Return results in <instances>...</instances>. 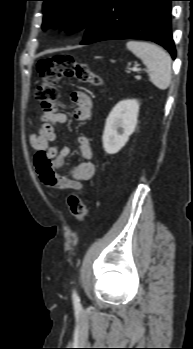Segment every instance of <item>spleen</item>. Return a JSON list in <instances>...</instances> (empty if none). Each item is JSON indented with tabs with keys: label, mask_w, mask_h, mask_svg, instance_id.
<instances>
[{
	"label": "spleen",
	"mask_w": 193,
	"mask_h": 349,
	"mask_svg": "<svg viewBox=\"0 0 193 349\" xmlns=\"http://www.w3.org/2000/svg\"><path fill=\"white\" fill-rule=\"evenodd\" d=\"M126 46L147 66L153 85L160 90L167 89L172 78L170 55L161 47L144 41H128Z\"/></svg>",
	"instance_id": "spleen-1"
}]
</instances>
